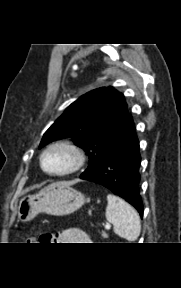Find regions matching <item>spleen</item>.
<instances>
[{
  "label": "spleen",
  "instance_id": "3e777b00",
  "mask_svg": "<svg viewBox=\"0 0 181 288\" xmlns=\"http://www.w3.org/2000/svg\"><path fill=\"white\" fill-rule=\"evenodd\" d=\"M106 219L113 224L114 232L128 241H135L141 231L140 218L136 210L121 198L108 194Z\"/></svg>",
  "mask_w": 181,
  "mask_h": 288
}]
</instances>
